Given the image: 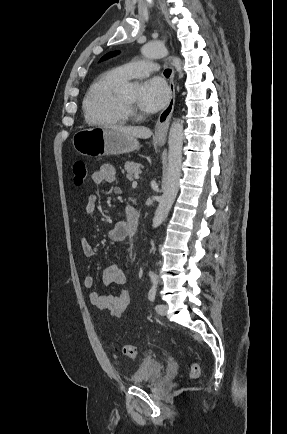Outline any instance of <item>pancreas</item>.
I'll use <instances>...</instances> for the list:
<instances>
[{
    "mask_svg": "<svg viewBox=\"0 0 287 434\" xmlns=\"http://www.w3.org/2000/svg\"><path fill=\"white\" fill-rule=\"evenodd\" d=\"M124 168L127 172V179L133 180V178L137 177L141 173L142 165L134 162H126Z\"/></svg>",
    "mask_w": 287,
    "mask_h": 434,
    "instance_id": "cf45deb5",
    "label": "pancreas"
}]
</instances>
